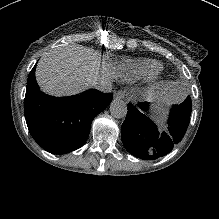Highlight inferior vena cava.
Segmentation results:
<instances>
[{
    "label": "inferior vena cava",
    "mask_w": 219,
    "mask_h": 219,
    "mask_svg": "<svg viewBox=\"0 0 219 219\" xmlns=\"http://www.w3.org/2000/svg\"><path fill=\"white\" fill-rule=\"evenodd\" d=\"M92 87L103 93H110L113 89L112 83L102 77L96 78L92 83Z\"/></svg>",
    "instance_id": "inferior-vena-cava-1"
}]
</instances>
